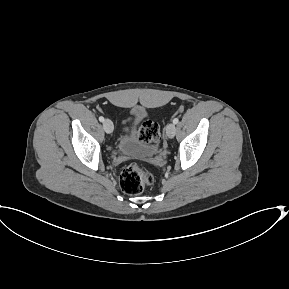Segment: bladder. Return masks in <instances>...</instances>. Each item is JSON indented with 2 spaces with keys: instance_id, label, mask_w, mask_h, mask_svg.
<instances>
[{
  "instance_id": "bladder-1",
  "label": "bladder",
  "mask_w": 289,
  "mask_h": 289,
  "mask_svg": "<svg viewBox=\"0 0 289 289\" xmlns=\"http://www.w3.org/2000/svg\"><path fill=\"white\" fill-rule=\"evenodd\" d=\"M142 119V113H138L131 124V131L128 135L119 140V150L130 156L144 158L156 154V147L141 141L136 135L135 128Z\"/></svg>"
}]
</instances>
